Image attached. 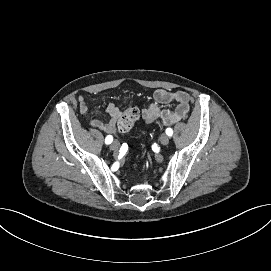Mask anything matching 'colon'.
I'll list each match as a JSON object with an SVG mask.
<instances>
[{
    "label": "colon",
    "mask_w": 271,
    "mask_h": 271,
    "mask_svg": "<svg viewBox=\"0 0 271 271\" xmlns=\"http://www.w3.org/2000/svg\"><path fill=\"white\" fill-rule=\"evenodd\" d=\"M138 118L139 110L135 107L128 108L118 121V129L121 132H128L132 129Z\"/></svg>",
    "instance_id": "1"
}]
</instances>
